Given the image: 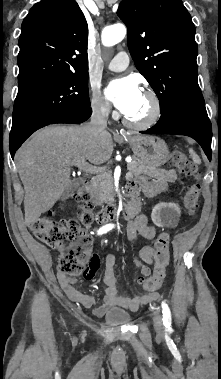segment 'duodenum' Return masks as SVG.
<instances>
[{"label":"duodenum","mask_w":221,"mask_h":379,"mask_svg":"<svg viewBox=\"0 0 221 379\" xmlns=\"http://www.w3.org/2000/svg\"><path fill=\"white\" fill-rule=\"evenodd\" d=\"M92 181L91 178L86 177L82 181V187L86 190H89L91 187ZM127 192L130 196V200L125 204L123 214L125 218H131L138 214L141 202L137 194L136 188L129 184L127 186ZM118 215V208L116 206H106L100 209L96 216L95 220L97 223H107L114 220Z\"/></svg>","instance_id":"duodenum-1"}]
</instances>
